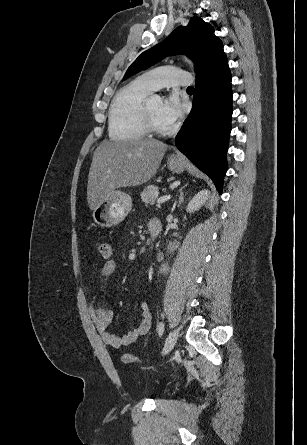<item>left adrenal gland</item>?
<instances>
[{"mask_svg": "<svg viewBox=\"0 0 307 445\" xmlns=\"http://www.w3.org/2000/svg\"><path fill=\"white\" fill-rule=\"evenodd\" d=\"M183 188H184V186H182V188H180V190H179L180 196H179V200H178V206H180L181 202H183V198H184Z\"/></svg>", "mask_w": 307, "mask_h": 445, "instance_id": "a2214340", "label": "left adrenal gland"}]
</instances>
